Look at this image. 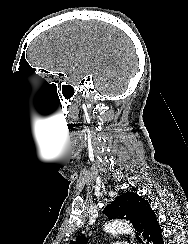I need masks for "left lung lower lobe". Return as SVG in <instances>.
Wrapping results in <instances>:
<instances>
[{
  "label": "left lung lower lobe",
  "instance_id": "1",
  "mask_svg": "<svg viewBox=\"0 0 188 244\" xmlns=\"http://www.w3.org/2000/svg\"><path fill=\"white\" fill-rule=\"evenodd\" d=\"M143 238L146 244H164L161 227L154 212H151L147 217Z\"/></svg>",
  "mask_w": 188,
  "mask_h": 244
}]
</instances>
